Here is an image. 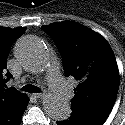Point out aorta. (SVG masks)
Returning <instances> with one entry per match:
<instances>
[{
  "instance_id": "1",
  "label": "aorta",
  "mask_w": 125,
  "mask_h": 125,
  "mask_svg": "<svg viewBox=\"0 0 125 125\" xmlns=\"http://www.w3.org/2000/svg\"><path fill=\"white\" fill-rule=\"evenodd\" d=\"M15 54L26 69L40 73L46 66L47 46L36 36H27L20 39L15 47ZM43 107L46 114L54 120H65L71 114L68 101L59 95L49 93L43 98Z\"/></svg>"
}]
</instances>
